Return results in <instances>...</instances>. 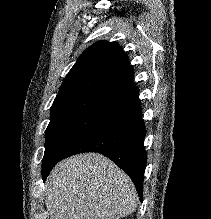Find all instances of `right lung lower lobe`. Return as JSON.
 <instances>
[{"label": "right lung lower lobe", "mask_w": 211, "mask_h": 219, "mask_svg": "<svg viewBox=\"0 0 211 219\" xmlns=\"http://www.w3.org/2000/svg\"><path fill=\"white\" fill-rule=\"evenodd\" d=\"M145 134L146 129L137 96L93 126L60 160L83 152L101 153L128 174L142 201L147 163V154L143 146Z\"/></svg>", "instance_id": "right-lung-lower-lobe-1"}]
</instances>
